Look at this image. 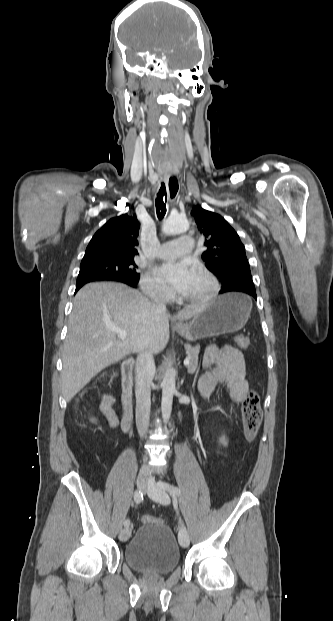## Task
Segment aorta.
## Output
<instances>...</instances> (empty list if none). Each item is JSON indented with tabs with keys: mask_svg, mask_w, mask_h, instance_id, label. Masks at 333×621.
Instances as JSON below:
<instances>
[{
	"mask_svg": "<svg viewBox=\"0 0 333 621\" xmlns=\"http://www.w3.org/2000/svg\"><path fill=\"white\" fill-rule=\"evenodd\" d=\"M189 228L188 220L179 215H170L162 226V232L166 235H175L186 232ZM176 372L172 367L166 370L162 381L161 411L164 422H168L175 393Z\"/></svg>",
	"mask_w": 333,
	"mask_h": 621,
	"instance_id": "aorta-1",
	"label": "aorta"
}]
</instances>
